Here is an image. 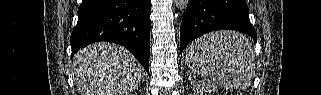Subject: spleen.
Masks as SVG:
<instances>
[{
	"label": "spleen",
	"instance_id": "1",
	"mask_svg": "<svg viewBox=\"0 0 321 95\" xmlns=\"http://www.w3.org/2000/svg\"><path fill=\"white\" fill-rule=\"evenodd\" d=\"M255 55L249 39L239 32L206 34L187 49L186 64L226 90H245L255 77Z\"/></svg>",
	"mask_w": 321,
	"mask_h": 95
}]
</instances>
